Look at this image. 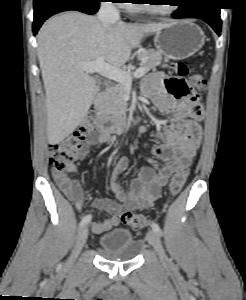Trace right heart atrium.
Wrapping results in <instances>:
<instances>
[{
  "instance_id": "right-heart-atrium-1",
  "label": "right heart atrium",
  "mask_w": 246,
  "mask_h": 300,
  "mask_svg": "<svg viewBox=\"0 0 246 300\" xmlns=\"http://www.w3.org/2000/svg\"><path fill=\"white\" fill-rule=\"evenodd\" d=\"M116 1L120 2V1H123V0H116Z\"/></svg>"
}]
</instances>
